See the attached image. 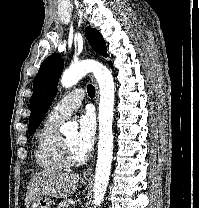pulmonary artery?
I'll return each instance as SVG.
<instances>
[{"label":"pulmonary artery","mask_w":199,"mask_h":208,"mask_svg":"<svg viewBox=\"0 0 199 208\" xmlns=\"http://www.w3.org/2000/svg\"><path fill=\"white\" fill-rule=\"evenodd\" d=\"M84 96L85 93L82 89L72 90L53 106L49 116L60 120L67 119L73 111L81 106Z\"/></svg>","instance_id":"e3ab8cb5"}]
</instances>
